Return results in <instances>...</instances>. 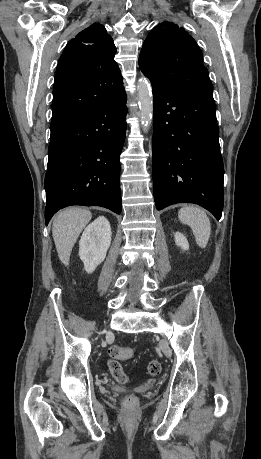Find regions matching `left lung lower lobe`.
Segmentation results:
<instances>
[{
    "mask_svg": "<svg viewBox=\"0 0 261 459\" xmlns=\"http://www.w3.org/2000/svg\"><path fill=\"white\" fill-rule=\"evenodd\" d=\"M153 89V190L161 210L189 202L217 220L223 209L224 167L213 96Z\"/></svg>",
    "mask_w": 261,
    "mask_h": 459,
    "instance_id": "obj_1",
    "label": "left lung lower lobe"
}]
</instances>
